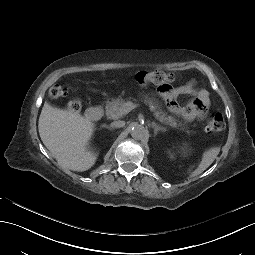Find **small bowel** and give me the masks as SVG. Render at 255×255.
<instances>
[{
    "mask_svg": "<svg viewBox=\"0 0 255 255\" xmlns=\"http://www.w3.org/2000/svg\"><path fill=\"white\" fill-rule=\"evenodd\" d=\"M173 94H186L194 96V99L186 107H180L176 102L171 101L170 108L173 112L182 115L186 120L189 121L202 119L206 115L210 105L209 93L205 89L197 90L195 88L194 81H189L183 86H180L173 92Z\"/></svg>",
    "mask_w": 255,
    "mask_h": 255,
    "instance_id": "c3829d8e",
    "label": "small bowel"
}]
</instances>
